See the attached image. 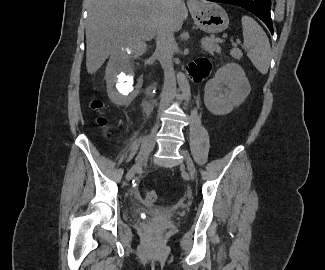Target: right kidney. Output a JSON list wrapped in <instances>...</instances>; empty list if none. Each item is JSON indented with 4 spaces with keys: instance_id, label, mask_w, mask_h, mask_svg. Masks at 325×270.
Masks as SVG:
<instances>
[{
    "instance_id": "right-kidney-1",
    "label": "right kidney",
    "mask_w": 325,
    "mask_h": 270,
    "mask_svg": "<svg viewBox=\"0 0 325 270\" xmlns=\"http://www.w3.org/2000/svg\"><path fill=\"white\" fill-rule=\"evenodd\" d=\"M139 55V52L127 44L120 45L111 54L105 78L108 96L116 105H129L142 87L144 67L134 62Z\"/></svg>"
}]
</instances>
